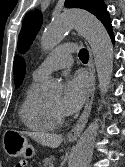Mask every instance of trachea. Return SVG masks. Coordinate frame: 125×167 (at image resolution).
I'll return each instance as SVG.
<instances>
[{
	"label": "trachea",
	"instance_id": "3493384b",
	"mask_svg": "<svg viewBox=\"0 0 125 167\" xmlns=\"http://www.w3.org/2000/svg\"><path fill=\"white\" fill-rule=\"evenodd\" d=\"M79 58L80 60L84 61V62H87L88 61V58H89V53L86 49H81L79 51Z\"/></svg>",
	"mask_w": 125,
	"mask_h": 167
}]
</instances>
